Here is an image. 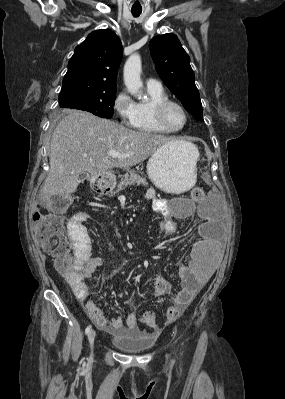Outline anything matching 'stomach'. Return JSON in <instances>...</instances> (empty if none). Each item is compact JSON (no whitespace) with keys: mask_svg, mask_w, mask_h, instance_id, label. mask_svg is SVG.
<instances>
[{"mask_svg":"<svg viewBox=\"0 0 285 399\" xmlns=\"http://www.w3.org/2000/svg\"><path fill=\"white\" fill-rule=\"evenodd\" d=\"M197 147L187 141H172L154 152L147 163V174L161 190L178 194L190 189L196 182ZM104 184V185H102ZM97 187L104 193L108 183L101 179Z\"/></svg>","mask_w":285,"mask_h":399,"instance_id":"1","label":"stomach"}]
</instances>
